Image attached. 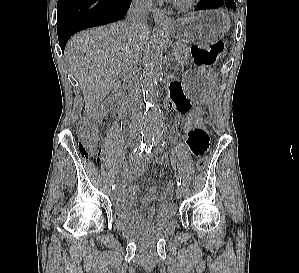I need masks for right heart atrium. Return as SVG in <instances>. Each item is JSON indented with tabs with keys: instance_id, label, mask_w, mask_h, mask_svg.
Returning a JSON list of instances; mask_svg holds the SVG:
<instances>
[{
	"instance_id": "d8ad5b80",
	"label": "right heart atrium",
	"mask_w": 299,
	"mask_h": 273,
	"mask_svg": "<svg viewBox=\"0 0 299 273\" xmlns=\"http://www.w3.org/2000/svg\"><path fill=\"white\" fill-rule=\"evenodd\" d=\"M142 5H147L150 3L151 0H137Z\"/></svg>"
}]
</instances>
